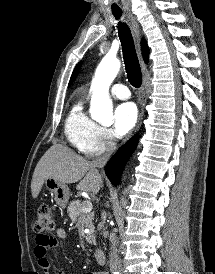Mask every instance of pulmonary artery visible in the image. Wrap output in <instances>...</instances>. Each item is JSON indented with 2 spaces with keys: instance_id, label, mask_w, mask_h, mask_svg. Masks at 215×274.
<instances>
[{
  "instance_id": "e3ab8cb5",
  "label": "pulmonary artery",
  "mask_w": 215,
  "mask_h": 274,
  "mask_svg": "<svg viewBox=\"0 0 215 274\" xmlns=\"http://www.w3.org/2000/svg\"><path fill=\"white\" fill-rule=\"evenodd\" d=\"M111 94L119 99H128L130 97L128 88L123 84H114L111 87Z\"/></svg>"
}]
</instances>
